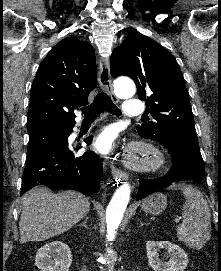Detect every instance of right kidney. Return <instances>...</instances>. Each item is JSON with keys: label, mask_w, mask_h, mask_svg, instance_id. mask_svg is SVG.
I'll use <instances>...</instances> for the list:
<instances>
[{"label": "right kidney", "mask_w": 221, "mask_h": 271, "mask_svg": "<svg viewBox=\"0 0 221 271\" xmlns=\"http://www.w3.org/2000/svg\"><path fill=\"white\" fill-rule=\"evenodd\" d=\"M72 253L69 245L63 241H48L39 247L35 255V265L41 271H69Z\"/></svg>", "instance_id": "1"}]
</instances>
